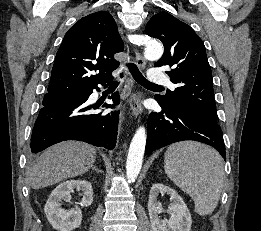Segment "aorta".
<instances>
[{"instance_id":"1","label":"aorta","mask_w":261,"mask_h":231,"mask_svg":"<svg viewBox=\"0 0 261 231\" xmlns=\"http://www.w3.org/2000/svg\"><path fill=\"white\" fill-rule=\"evenodd\" d=\"M163 51L164 49L161 43L149 42L146 45L144 57L148 60L155 61L161 58ZM145 145L146 131L145 128L142 126L139 127L134 134L128 151L126 162V176L129 182L135 181L140 173Z\"/></svg>"}]
</instances>
